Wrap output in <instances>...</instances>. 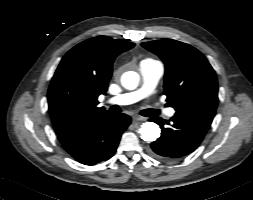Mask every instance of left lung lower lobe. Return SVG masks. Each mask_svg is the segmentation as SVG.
I'll use <instances>...</instances> for the list:
<instances>
[{
    "label": "left lung lower lobe",
    "instance_id": "0a47b994",
    "mask_svg": "<svg viewBox=\"0 0 253 200\" xmlns=\"http://www.w3.org/2000/svg\"><path fill=\"white\" fill-rule=\"evenodd\" d=\"M162 130L161 137L151 143L150 153L161 160H174L193 152L202 142L211 123L182 113L170 120L152 119Z\"/></svg>",
    "mask_w": 253,
    "mask_h": 200
}]
</instances>
